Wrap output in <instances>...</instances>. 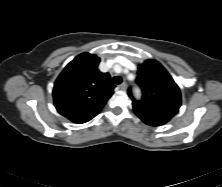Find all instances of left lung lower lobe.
<instances>
[{"instance_id":"0a47b994","label":"left lung lower lobe","mask_w":222,"mask_h":187,"mask_svg":"<svg viewBox=\"0 0 222 187\" xmlns=\"http://www.w3.org/2000/svg\"><path fill=\"white\" fill-rule=\"evenodd\" d=\"M135 114L146 124L160 126L167 123L174 115L162 112H151L133 106Z\"/></svg>"}]
</instances>
